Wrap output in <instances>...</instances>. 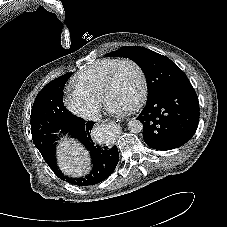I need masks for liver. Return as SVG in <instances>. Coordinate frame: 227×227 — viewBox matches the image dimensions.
Wrapping results in <instances>:
<instances>
[{"mask_svg":"<svg viewBox=\"0 0 227 227\" xmlns=\"http://www.w3.org/2000/svg\"><path fill=\"white\" fill-rule=\"evenodd\" d=\"M58 156V164L65 174L80 177L88 172V153L79 144L73 141L60 143Z\"/></svg>","mask_w":227,"mask_h":227,"instance_id":"obj_1","label":"liver"}]
</instances>
